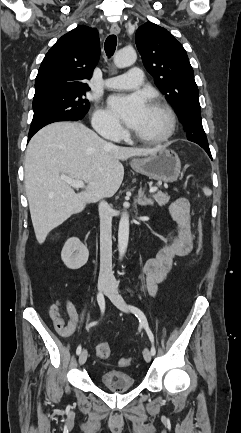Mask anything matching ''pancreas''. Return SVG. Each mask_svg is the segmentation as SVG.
<instances>
[{"mask_svg":"<svg viewBox=\"0 0 241 433\" xmlns=\"http://www.w3.org/2000/svg\"><path fill=\"white\" fill-rule=\"evenodd\" d=\"M152 197L160 207L166 205L170 200V197L162 192H157L153 194Z\"/></svg>","mask_w":241,"mask_h":433,"instance_id":"cf45deb5","label":"pancreas"}]
</instances>
